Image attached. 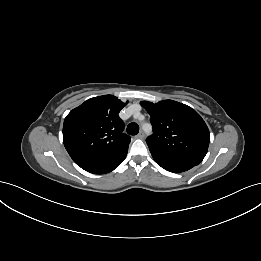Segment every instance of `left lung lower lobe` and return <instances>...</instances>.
<instances>
[{
  "instance_id": "obj_1",
  "label": "left lung lower lobe",
  "mask_w": 261,
  "mask_h": 261,
  "mask_svg": "<svg viewBox=\"0 0 261 261\" xmlns=\"http://www.w3.org/2000/svg\"><path fill=\"white\" fill-rule=\"evenodd\" d=\"M153 159L155 162L160 165L162 168H164L167 171L174 172V173H180L187 171L195 166V164L175 159L160 153H157L155 151L150 150Z\"/></svg>"
}]
</instances>
